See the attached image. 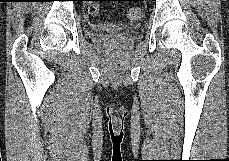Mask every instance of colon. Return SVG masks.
<instances>
[{"mask_svg": "<svg viewBox=\"0 0 229 161\" xmlns=\"http://www.w3.org/2000/svg\"><path fill=\"white\" fill-rule=\"evenodd\" d=\"M98 1L101 0H90L88 11L91 15H97L100 11ZM126 16L129 20H138L141 16V10L137 7H132L127 10Z\"/></svg>", "mask_w": 229, "mask_h": 161, "instance_id": "colon-1", "label": "colon"}]
</instances>
